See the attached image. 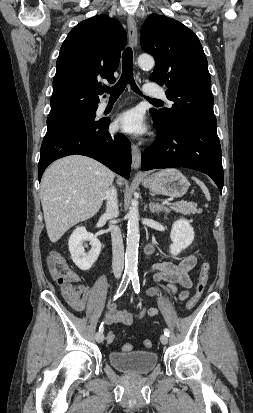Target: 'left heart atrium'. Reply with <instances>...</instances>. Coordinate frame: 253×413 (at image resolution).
<instances>
[{"label": "left heart atrium", "mask_w": 253, "mask_h": 413, "mask_svg": "<svg viewBox=\"0 0 253 413\" xmlns=\"http://www.w3.org/2000/svg\"><path fill=\"white\" fill-rule=\"evenodd\" d=\"M113 128L116 131L135 136L143 135L147 131L143 113L138 108L118 114L114 120Z\"/></svg>", "instance_id": "obj_1"}]
</instances>
